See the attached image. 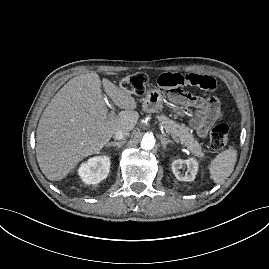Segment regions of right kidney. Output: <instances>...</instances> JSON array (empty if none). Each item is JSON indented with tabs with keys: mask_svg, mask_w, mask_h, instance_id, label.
Returning a JSON list of instances; mask_svg holds the SVG:
<instances>
[{
	"mask_svg": "<svg viewBox=\"0 0 269 269\" xmlns=\"http://www.w3.org/2000/svg\"><path fill=\"white\" fill-rule=\"evenodd\" d=\"M110 170V158L96 156L81 164L78 174L85 184H98L105 179Z\"/></svg>",
	"mask_w": 269,
	"mask_h": 269,
	"instance_id": "obj_1",
	"label": "right kidney"
}]
</instances>
